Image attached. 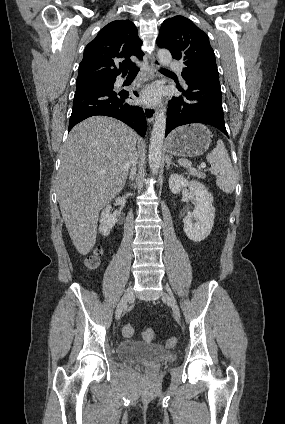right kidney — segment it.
<instances>
[{
	"instance_id": "obj_1",
	"label": "right kidney",
	"mask_w": 285,
	"mask_h": 424,
	"mask_svg": "<svg viewBox=\"0 0 285 424\" xmlns=\"http://www.w3.org/2000/svg\"><path fill=\"white\" fill-rule=\"evenodd\" d=\"M110 211H111V206L107 205L106 208L101 213L99 232L103 236H108L110 233V230L117 223L116 215L111 214Z\"/></svg>"
}]
</instances>
